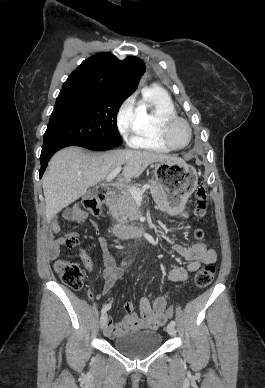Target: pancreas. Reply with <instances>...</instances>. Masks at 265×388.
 I'll use <instances>...</instances> for the list:
<instances>
[{"label":"pancreas","mask_w":265,"mask_h":388,"mask_svg":"<svg viewBox=\"0 0 265 388\" xmlns=\"http://www.w3.org/2000/svg\"><path fill=\"white\" fill-rule=\"evenodd\" d=\"M148 186H151L152 198L160 210H165L168 208L169 202L167 194H165L163 188L155 182V180H148ZM142 184H133V188H140ZM113 218L119 222V224H128V222H134L142 216L137 204H135L134 198H132L129 190H123L121 192L120 198L117 200L116 206L113 208L112 212Z\"/></svg>","instance_id":"1"}]
</instances>
